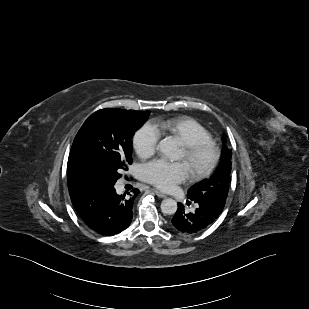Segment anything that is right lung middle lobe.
<instances>
[{
	"mask_svg": "<svg viewBox=\"0 0 309 309\" xmlns=\"http://www.w3.org/2000/svg\"><path fill=\"white\" fill-rule=\"evenodd\" d=\"M149 111L102 109L78 131L68 158L67 172L114 185L132 163V137Z\"/></svg>",
	"mask_w": 309,
	"mask_h": 309,
	"instance_id": "dd1d6c3e",
	"label": "right lung middle lobe"
}]
</instances>
